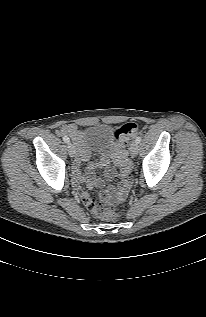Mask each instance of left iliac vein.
I'll use <instances>...</instances> for the list:
<instances>
[{"mask_svg":"<svg viewBox=\"0 0 206 317\" xmlns=\"http://www.w3.org/2000/svg\"><path fill=\"white\" fill-rule=\"evenodd\" d=\"M130 153L132 156H136L138 154V143L133 142L130 145Z\"/></svg>","mask_w":206,"mask_h":317,"instance_id":"obj_1","label":"left iliac vein"}]
</instances>
